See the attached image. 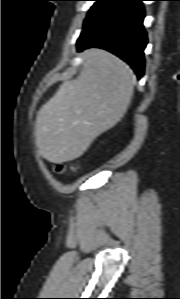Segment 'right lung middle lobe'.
<instances>
[{"instance_id": "1", "label": "right lung middle lobe", "mask_w": 180, "mask_h": 299, "mask_svg": "<svg viewBox=\"0 0 180 299\" xmlns=\"http://www.w3.org/2000/svg\"><path fill=\"white\" fill-rule=\"evenodd\" d=\"M94 1H96V2H95L94 5L91 7V9H90V11H89L87 17L90 16L93 12H95L99 7H101V6H102L104 3H106L108 0H94Z\"/></svg>"}]
</instances>
